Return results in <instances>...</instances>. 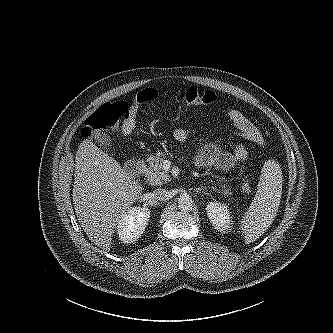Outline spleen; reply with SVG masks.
Listing matches in <instances>:
<instances>
[{
    "label": "spleen",
    "mask_w": 333,
    "mask_h": 333,
    "mask_svg": "<svg viewBox=\"0 0 333 333\" xmlns=\"http://www.w3.org/2000/svg\"><path fill=\"white\" fill-rule=\"evenodd\" d=\"M282 182L279 163L267 160L261 169L256 195L240 222L245 244L256 241L274 221L280 205Z\"/></svg>",
    "instance_id": "spleen-1"
}]
</instances>
